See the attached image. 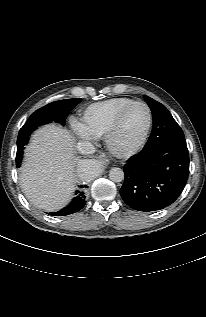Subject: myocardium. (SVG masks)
<instances>
[{"label":"myocardium","instance_id":"f54148a6","mask_svg":"<svg viewBox=\"0 0 206 317\" xmlns=\"http://www.w3.org/2000/svg\"><path fill=\"white\" fill-rule=\"evenodd\" d=\"M135 105H142L145 107L146 111H147V125L146 128L144 130V133L140 139V141L133 147L127 148V149H121L118 148L115 144H114V136L122 122V119L124 117V115L126 114V112L133 106ZM152 112L150 107L143 101H133L130 104L126 105L124 108H122L114 117L111 125L109 126L106 134H105V145L107 147V149L114 154L115 156L118 157H130L136 153H138L146 144L148 138H149V134L151 131V127H152Z\"/></svg>","mask_w":206,"mask_h":317}]
</instances>
